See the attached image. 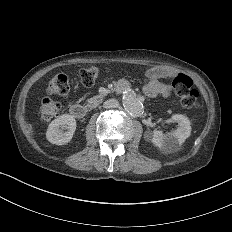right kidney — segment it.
<instances>
[{"mask_svg":"<svg viewBox=\"0 0 232 232\" xmlns=\"http://www.w3.org/2000/svg\"><path fill=\"white\" fill-rule=\"evenodd\" d=\"M75 129V119L69 114H64L49 124L46 136L51 143L63 145L71 140Z\"/></svg>","mask_w":232,"mask_h":232,"instance_id":"right-kidney-1","label":"right kidney"}]
</instances>
